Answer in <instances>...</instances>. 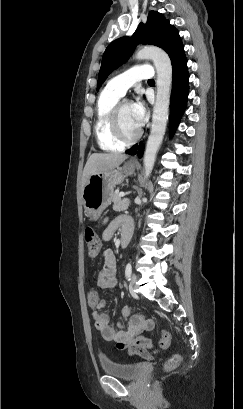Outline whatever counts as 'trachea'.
Masks as SVG:
<instances>
[{"label":"trachea","mask_w":243,"mask_h":409,"mask_svg":"<svg viewBox=\"0 0 243 409\" xmlns=\"http://www.w3.org/2000/svg\"><path fill=\"white\" fill-rule=\"evenodd\" d=\"M148 81H154L153 79H149Z\"/></svg>","instance_id":"3493384b"}]
</instances>
